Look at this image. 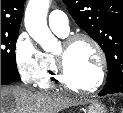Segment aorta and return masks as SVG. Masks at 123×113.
Returning a JSON list of instances; mask_svg holds the SVG:
<instances>
[{
  "label": "aorta",
  "instance_id": "1",
  "mask_svg": "<svg viewBox=\"0 0 123 113\" xmlns=\"http://www.w3.org/2000/svg\"><path fill=\"white\" fill-rule=\"evenodd\" d=\"M50 0H29L25 11V28L46 52L56 50L58 41L48 28L46 17Z\"/></svg>",
  "mask_w": 123,
  "mask_h": 113
}]
</instances>
